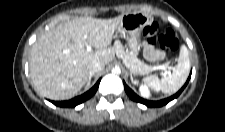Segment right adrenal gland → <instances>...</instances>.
Masks as SVG:
<instances>
[{"label": "right adrenal gland", "instance_id": "obj_1", "mask_svg": "<svg viewBox=\"0 0 225 132\" xmlns=\"http://www.w3.org/2000/svg\"><path fill=\"white\" fill-rule=\"evenodd\" d=\"M93 75H94V74H90V75H89L88 80H87V82H86V87L90 85V83H91V78H92Z\"/></svg>", "mask_w": 225, "mask_h": 132}]
</instances>
